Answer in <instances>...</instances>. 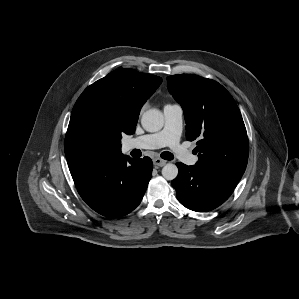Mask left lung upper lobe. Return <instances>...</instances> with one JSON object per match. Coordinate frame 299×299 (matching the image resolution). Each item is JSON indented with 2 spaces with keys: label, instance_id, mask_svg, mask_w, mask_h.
Instances as JSON below:
<instances>
[{
  "label": "left lung upper lobe",
  "instance_id": "obj_1",
  "mask_svg": "<svg viewBox=\"0 0 299 299\" xmlns=\"http://www.w3.org/2000/svg\"><path fill=\"white\" fill-rule=\"evenodd\" d=\"M167 81L183 108L187 140H197L194 166L238 183L247 166L249 142L230 93L218 82L192 74L172 75Z\"/></svg>",
  "mask_w": 299,
  "mask_h": 299
}]
</instances>
